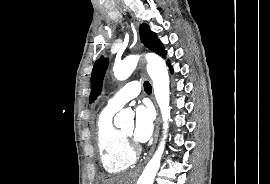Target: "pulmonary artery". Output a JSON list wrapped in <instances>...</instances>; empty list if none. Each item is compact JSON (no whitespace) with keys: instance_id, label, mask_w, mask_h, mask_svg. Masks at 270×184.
I'll return each mask as SVG.
<instances>
[{"instance_id":"obj_1","label":"pulmonary artery","mask_w":270,"mask_h":184,"mask_svg":"<svg viewBox=\"0 0 270 184\" xmlns=\"http://www.w3.org/2000/svg\"><path fill=\"white\" fill-rule=\"evenodd\" d=\"M140 91V83L138 81H131L121 88L111 99H109L107 107L117 111L128 101L138 96Z\"/></svg>"}]
</instances>
